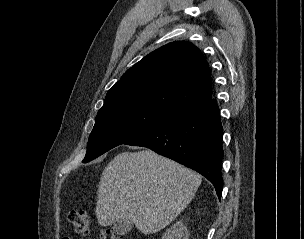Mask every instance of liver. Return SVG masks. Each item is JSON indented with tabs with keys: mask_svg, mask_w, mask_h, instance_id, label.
I'll return each mask as SVG.
<instances>
[{
	"mask_svg": "<svg viewBox=\"0 0 304 239\" xmlns=\"http://www.w3.org/2000/svg\"><path fill=\"white\" fill-rule=\"evenodd\" d=\"M202 177L152 150L122 152L104 168L96 216L102 226L130 220L143 234L157 233L191 202Z\"/></svg>",
	"mask_w": 304,
	"mask_h": 239,
	"instance_id": "6515ba94",
	"label": "liver"
}]
</instances>
